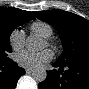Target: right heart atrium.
<instances>
[{"instance_id": "right-heart-atrium-1", "label": "right heart atrium", "mask_w": 89, "mask_h": 89, "mask_svg": "<svg viewBox=\"0 0 89 89\" xmlns=\"http://www.w3.org/2000/svg\"><path fill=\"white\" fill-rule=\"evenodd\" d=\"M10 45L14 50H20L24 46V32L22 29H15L9 38Z\"/></svg>"}]
</instances>
